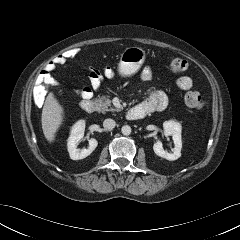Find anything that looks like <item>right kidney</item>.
<instances>
[{"label":"right kidney","mask_w":240,"mask_h":240,"mask_svg":"<svg viewBox=\"0 0 240 240\" xmlns=\"http://www.w3.org/2000/svg\"><path fill=\"white\" fill-rule=\"evenodd\" d=\"M84 130H85L84 120H79L72 126L71 133L68 138L67 147H68L70 158L73 160H80V159L86 158L95 150V148L98 145L97 140L94 138H91L89 140V146L87 149L80 150L77 148L78 143L84 137Z\"/></svg>","instance_id":"1"}]
</instances>
